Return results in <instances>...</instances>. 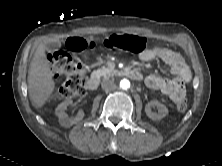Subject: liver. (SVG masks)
Segmentation results:
<instances>
[{
    "label": "liver",
    "mask_w": 222,
    "mask_h": 166,
    "mask_svg": "<svg viewBox=\"0 0 222 166\" xmlns=\"http://www.w3.org/2000/svg\"><path fill=\"white\" fill-rule=\"evenodd\" d=\"M55 89V82L46 59V48L40 44L32 58L28 72V92L32 105L41 108Z\"/></svg>",
    "instance_id": "6515ba94"
}]
</instances>
